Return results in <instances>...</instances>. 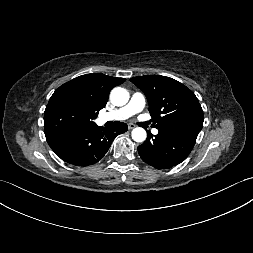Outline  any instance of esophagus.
I'll return each instance as SVG.
<instances>
[{"label":"esophagus","mask_w":253,"mask_h":253,"mask_svg":"<svg viewBox=\"0 0 253 253\" xmlns=\"http://www.w3.org/2000/svg\"><path fill=\"white\" fill-rule=\"evenodd\" d=\"M136 127V125L135 124H133V123H129L128 124V128L131 130V129H134Z\"/></svg>","instance_id":"34e87169"}]
</instances>
